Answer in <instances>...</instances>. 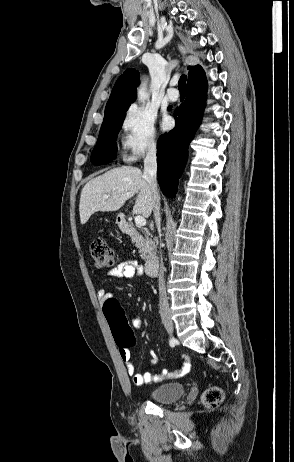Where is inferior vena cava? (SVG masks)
Wrapping results in <instances>:
<instances>
[{
  "label": "inferior vena cava",
  "instance_id": "obj_1",
  "mask_svg": "<svg viewBox=\"0 0 294 462\" xmlns=\"http://www.w3.org/2000/svg\"><path fill=\"white\" fill-rule=\"evenodd\" d=\"M144 176L151 190V195L154 204L153 213L155 222L158 228L160 229V197L157 188V149L155 144L150 145L147 150L146 157L144 160ZM159 308L161 315L168 314L170 312L165 288L163 268L160 269L159 273Z\"/></svg>",
  "mask_w": 294,
  "mask_h": 462
}]
</instances>
